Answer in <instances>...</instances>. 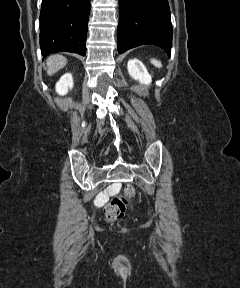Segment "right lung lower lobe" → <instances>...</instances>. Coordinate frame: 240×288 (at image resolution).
I'll list each match as a JSON object with an SVG mask.
<instances>
[{
	"mask_svg": "<svg viewBox=\"0 0 240 288\" xmlns=\"http://www.w3.org/2000/svg\"><path fill=\"white\" fill-rule=\"evenodd\" d=\"M90 0H42L40 47L43 57L68 51L86 54Z\"/></svg>",
	"mask_w": 240,
	"mask_h": 288,
	"instance_id": "obj_1",
	"label": "right lung lower lobe"
}]
</instances>
